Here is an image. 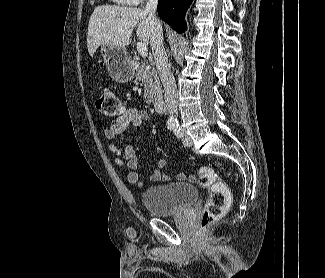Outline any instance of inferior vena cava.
Here are the masks:
<instances>
[{
  "mask_svg": "<svg viewBox=\"0 0 325 278\" xmlns=\"http://www.w3.org/2000/svg\"><path fill=\"white\" fill-rule=\"evenodd\" d=\"M158 0H148L145 11L148 13L151 30L150 46L152 48L156 68L165 90V102L170 115L177 113L178 100L174 76L168 65V57L163 43V30L159 19L156 17Z\"/></svg>",
  "mask_w": 325,
  "mask_h": 278,
  "instance_id": "inferior-vena-cava-1",
  "label": "inferior vena cava"
}]
</instances>
